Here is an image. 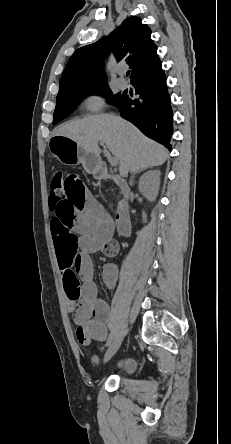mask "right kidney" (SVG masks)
I'll return each instance as SVG.
<instances>
[{
  "mask_svg": "<svg viewBox=\"0 0 231 444\" xmlns=\"http://www.w3.org/2000/svg\"><path fill=\"white\" fill-rule=\"evenodd\" d=\"M160 185V171L154 170L141 176L138 184L139 191L149 200L156 199Z\"/></svg>",
  "mask_w": 231,
  "mask_h": 444,
  "instance_id": "ca27d5eb",
  "label": "right kidney"
}]
</instances>
